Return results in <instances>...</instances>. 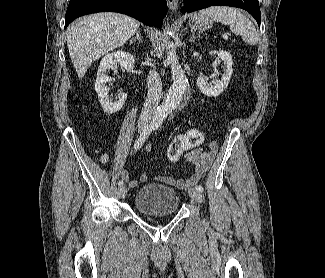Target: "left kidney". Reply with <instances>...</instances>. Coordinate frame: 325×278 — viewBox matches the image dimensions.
<instances>
[{
	"mask_svg": "<svg viewBox=\"0 0 325 278\" xmlns=\"http://www.w3.org/2000/svg\"><path fill=\"white\" fill-rule=\"evenodd\" d=\"M210 54H217L224 63V74L221 80H214L211 83L205 81L201 76L197 78V86L199 90L208 97L219 96L228 86L233 69L231 54L226 51H211Z\"/></svg>",
	"mask_w": 325,
	"mask_h": 278,
	"instance_id": "left-kidney-1",
	"label": "left kidney"
}]
</instances>
